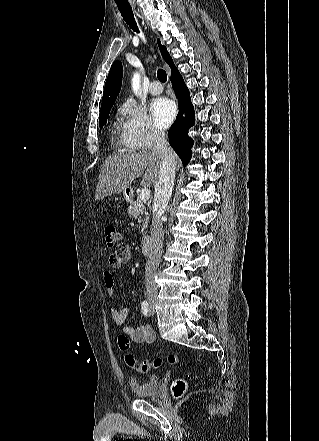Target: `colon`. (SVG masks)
Here are the masks:
<instances>
[{
    "instance_id": "colon-1",
    "label": "colon",
    "mask_w": 319,
    "mask_h": 441,
    "mask_svg": "<svg viewBox=\"0 0 319 441\" xmlns=\"http://www.w3.org/2000/svg\"><path fill=\"white\" fill-rule=\"evenodd\" d=\"M105 233V242L108 247H114L119 245L121 242V235L113 224H107L104 228ZM117 344L121 351L126 352L125 354V362L127 366L133 370H136L140 373H147L153 369H157L161 367L163 364H177L183 361V359L176 354H169L165 357H156L153 360L145 359L139 361L136 357L128 353L130 347L129 339L121 334L117 338ZM187 385L184 380L177 379L172 384V392L176 398H180L186 392Z\"/></svg>"
}]
</instances>
